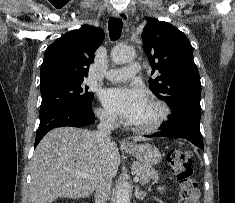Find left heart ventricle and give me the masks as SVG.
<instances>
[{
	"mask_svg": "<svg viewBox=\"0 0 235 203\" xmlns=\"http://www.w3.org/2000/svg\"><path fill=\"white\" fill-rule=\"evenodd\" d=\"M157 114V108L149 103H146L139 116L133 121V124H148L157 117Z\"/></svg>",
	"mask_w": 235,
	"mask_h": 203,
	"instance_id": "b2bd125f",
	"label": "left heart ventricle"
}]
</instances>
